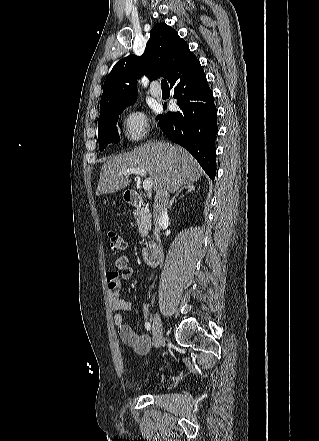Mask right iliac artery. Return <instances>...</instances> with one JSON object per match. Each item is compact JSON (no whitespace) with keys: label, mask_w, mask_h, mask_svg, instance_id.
<instances>
[{"label":"right iliac artery","mask_w":319,"mask_h":441,"mask_svg":"<svg viewBox=\"0 0 319 441\" xmlns=\"http://www.w3.org/2000/svg\"><path fill=\"white\" fill-rule=\"evenodd\" d=\"M145 327L147 328V330H151V324L149 322H145Z\"/></svg>","instance_id":"82829eb1"}]
</instances>
